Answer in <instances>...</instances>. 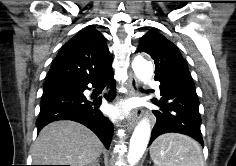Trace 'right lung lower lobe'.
<instances>
[{"label":"right lung lower lobe","instance_id":"obj_1","mask_svg":"<svg viewBox=\"0 0 236 166\" xmlns=\"http://www.w3.org/2000/svg\"><path fill=\"white\" fill-rule=\"evenodd\" d=\"M106 82L111 88L104 97L111 101L114 98L115 80L111 69L90 79L59 78L46 81L41 100V109L36 121L38 132L47 124L57 120H72L91 129L109 148L114 131L113 124L98 109L101 99L88 100L83 92L99 82Z\"/></svg>","mask_w":236,"mask_h":166}]
</instances>
